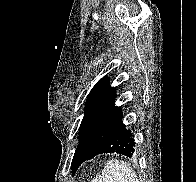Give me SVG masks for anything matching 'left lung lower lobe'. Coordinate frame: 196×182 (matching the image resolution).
Returning a JSON list of instances; mask_svg holds the SVG:
<instances>
[{
	"label": "left lung lower lobe",
	"mask_w": 196,
	"mask_h": 182,
	"mask_svg": "<svg viewBox=\"0 0 196 182\" xmlns=\"http://www.w3.org/2000/svg\"><path fill=\"white\" fill-rule=\"evenodd\" d=\"M135 143L130 130L126 129V125H119L109 134L105 140L99 144L93 151L88 153L76 154V163L72 173L86 160L92 159L94 156L103 153H117L127 157H132L135 153Z\"/></svg>",
	"instance_id": "obj_1"
}]
</instances>
